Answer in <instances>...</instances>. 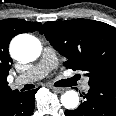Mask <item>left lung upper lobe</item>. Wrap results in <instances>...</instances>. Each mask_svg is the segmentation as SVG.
I'll list each match as a JSON object with an SVG mask.
<instances>
[{"mask_svg":"<svg viewBox=\"0 0 116 116\" xmlns=\"http://www.w3.org/2000/svg\"><path fill=\"white\" fill-rule=\"evenodd\" d=\"M40 33L67 59L66 68L86 73L89 85L116 86V28L74 19L46 22Z\"/></svg>","mask_w":116,"mask_h":116,"instance_id":"5c2ea615","label":"left lung upper lobe"}]
</instances>
